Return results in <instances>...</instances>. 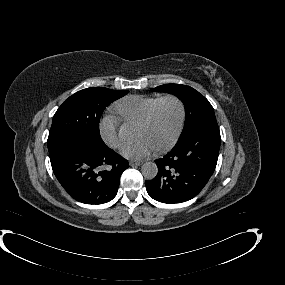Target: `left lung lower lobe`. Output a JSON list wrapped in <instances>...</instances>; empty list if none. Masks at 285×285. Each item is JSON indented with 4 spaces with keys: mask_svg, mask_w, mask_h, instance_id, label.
Listing matches in <instances>:
<instances>
[{
    "mask_svg": "<svg viewBox=\"0 0 285 285\" xmlns=\"http://www.w3.org/2000/svg\"><path fill=\"white\" fill-rule=\"evenodd\" d=\"M220 141L217 124L202 127L179 140L167 155L155 160L158 174L145 181L148 194L162 203L194 198L215 170Z\"/></svg>",
    "mask_w": 285,
    "mask_h": 285,
    "instance_id": "1",
    "label": "left lung lower lobe"
}]
</instances>
